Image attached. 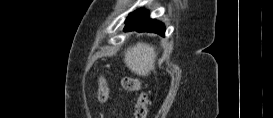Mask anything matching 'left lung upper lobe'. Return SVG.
Here are the masks:
<instances>
[{
    "label": "left lung upper lobe",
    "instance_id": "left-lung-upper-lobe-1",
    "mask_svg": "<svg viewBox=\"0 0 273 118\" xmlns=\"http://www.w3.org/2000/svg\"><path fill=\"white\" fill-rule=\"evenodd\" d=\"M126 20L127 23H136V22H143L147 19H149V12L143 8H139L132 12Z\"/></svg>",
    "mask_w": 273,
    "mask_h": 118
}]
</instances>
